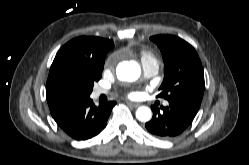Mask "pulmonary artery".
<instances>
[{"instance_id": "pulmonary-artery-1", "label": "pulmonary artery", "mask_w": 249, "mask_h": 165, "mask_svg": "<svg viewBox=\"0 0 249 165\" xmlns=\"http://www.w3.org/2000/svg\"><path fill=\"white\" fill-rule=\"evenodd\" d=\"M143 75L145 78L155 76L158 73V64L154 60H142ZM108 91L103 88H98L94 91L93 97H99L102 94H106ZM164 106L168 105V101L163 102Z\"/></svg>"}]
</instances>
